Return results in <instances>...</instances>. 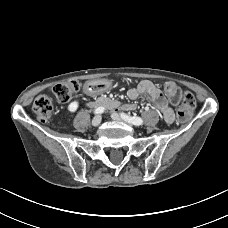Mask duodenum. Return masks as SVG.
<instances>
[{
	"label": "duodenum",
	"mask_w": 228,
	"mask_h": 228,
	"mask_svg": "<svg viewBox=\"0 0 228 228\" xmlns=\"http://www.w3.org/2000/svg\"><path fill=\"white\" fill-rule=\"evenodd\" d=\"M102 102H104L107 106L117 108L120 106V103L114 100H110L108 98L103 99Z\"/></svg>",
	"instance_id": "duodenum-1"
}]
</instances>
